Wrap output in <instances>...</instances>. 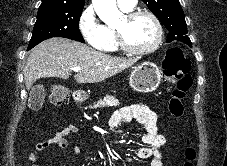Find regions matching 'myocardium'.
Wrapping results in <instances>:
<instances>
[{"label":"myocardium","mask_w":227,"mask_h":166,"mask_svg":"<svg viewBox=\"0 0 227 166\" xmlns=\"http://www.w3.org/2000/svg\"><path fill=\"white\" fill-rule=\"evenodd\" d=\"M140 16L149 17L152 20V22L155 26V29H156L155 39L151 43V45H149L148 47H146V48L132 47L125 41L121 30L115 28L114 31H115V37H116V42H117L118 47H120L123 51H125L129 54L143 56V55H148V54L154 52L156 49H158V47L160 46V44L162 42L163 29H162V25H161L159 19L157 18V16L150 11L136 10V11L126 12L123 15V19H124V21L129 22Z\"/></svg>","instance_id":"f54148a6"}]
</instances>
